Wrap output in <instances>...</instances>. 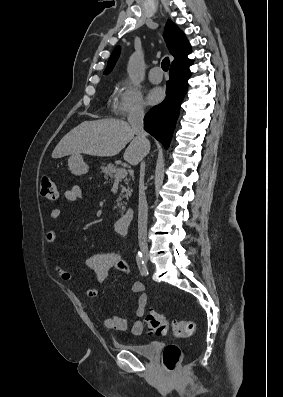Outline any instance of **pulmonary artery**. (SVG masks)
<instances>
[{
    "label": "pulmonary artery",
    "mask_w": 283,
    "mask_h": 397,
    "mask_svg": "<svg viewBox=\"0 0 283 397\" xmlns=\"http://www.w3.org/2000/svg\"><path fill=\"white\" fill-rule=\"evenodd\" d=\"M149 80L152 83H160L162 81V71L160 67L155 66L150 70Z\"/></svg>",
    "instance_id": "obj_1"
}]
</instances>
